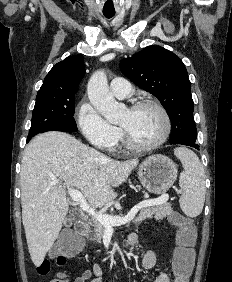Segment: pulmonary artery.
<instances>
[{
    "mask_svg": "<svg viewBox=\"0 0 232 282\" xmlns=\"http://www.w3.org/2000/svg\"><path fill=\"white\" fill-rule=\"evenodd\" d=\"M110 90L116 98L124 99L130 96L132 88L126 79L117 77L111 81Z\"/></svg>",
    "mask_w": 232,
    "mask_h": 282,
    "instance_id": "obj_1",
    "label": "pulmonary artery"
}]
</instances>
